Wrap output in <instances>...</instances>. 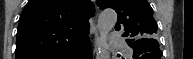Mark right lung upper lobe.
I'll return each mask as SVG.
<instances>
[{
  "label": "right lung upper lobe",
  "instance_id": "right-lung-upper-lobe-1",
  "mask_svg": "<svg viewBox=\"0 0 193 59\" xmlns=\"http://www.w3.org/2000/svg\"><path fill=\"white\" fill-rule=\"evenodd\" d=\"M89 0H30L20 16L16 59H59L89 39Z\"/></svg>",
  "mask_w": 193,
  "mask_h": 59
}]
</instances>
